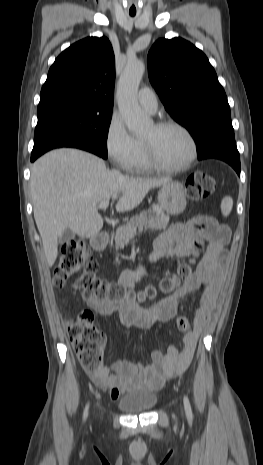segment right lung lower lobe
<instances>
[{"instance_id":"98d812e1","label":"right lung lower lobe","mask_w":263,"mask_h":465,"mask_svg":"<svg viewBox=\"0 0 263 465\" xmlns=\"http://www.w3.org/2000/svg\"><path fill=\"white\" fill-rule=\"evenodd\" d=\"M60 147L79 148V149L94 153L101 157L99 150L95 148L94 146H92L89 142L83 139H80L78 137L65 136V137H58V138L48 140L44 142L43 144H41L38 148H33V151L31 154V161L33 162L39 156H41L42 154H44L45 152L51 149L60 148Z\"/></svg>"}]
</instances>
